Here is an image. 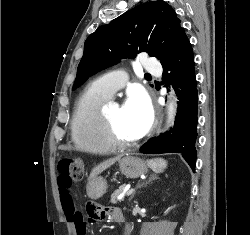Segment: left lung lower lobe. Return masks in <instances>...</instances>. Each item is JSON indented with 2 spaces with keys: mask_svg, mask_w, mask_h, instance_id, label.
<instances>
[{
  "mask_svg": "<svg viewBox=\"0 0 250 235\" xmlns=\"http://www.w3.org/2000/svg\"><path fill=\"white\" fill-rule=\"evenodd\" d=\"M163 78L170 82L178 97V112L173 128L152 138L141 147L142 153H180L195 172L198 91L194 71V55L183 29L168 54L161 61ZM170 71V73H168Z\"/></svg>",
  "mask_w": 250,
  "mask_h": 235,
  "instance_id": "0a47b994",
  "label": "left lung lower lobe"
}]
</instances>
